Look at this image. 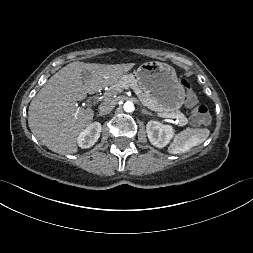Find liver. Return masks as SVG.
I'll return each instance as SVG.
<instances>
[{"label": "liver", "mask_w": 253, "mask_h": 253, "mask_svg": "<svg viewBox=\"0 0 253 253\" xmlns=\"http://www.w3.org/2000/svg\"><path fill=\"white\" fill-rule=\"evenodd\" d=\"M128 65L73 62L55 73L32 99L28 125L49 150L61 154L78 151L77 138L94 116L77 101L119 80Z\"/></svg>", "instance_id": "1"}]
</instances>
